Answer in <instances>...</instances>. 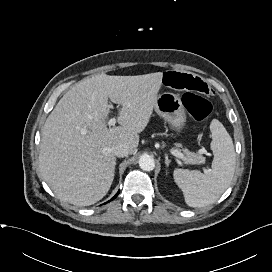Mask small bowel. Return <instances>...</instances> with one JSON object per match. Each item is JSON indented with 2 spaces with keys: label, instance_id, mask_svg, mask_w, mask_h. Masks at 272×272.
Listing matches in <instances>:
<instances>
[{
  "label": "small bowel",
  "instance_id": "1",
  "mask_svg": "<svg viewBox=\"0 0 272 272\" xmlns=\"http://www.w3.org/2000/svg\"><path fill=\"white\" fill-rule=\"evenodd\" d=\"M163 84L171 89L208 95L211 92L210 86L200 77L179 71H168L164 73Z\"/></svg>",
  "mask_w": 272,
  "mask_h": 272
}]
</instances>
